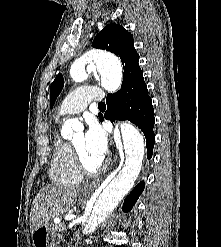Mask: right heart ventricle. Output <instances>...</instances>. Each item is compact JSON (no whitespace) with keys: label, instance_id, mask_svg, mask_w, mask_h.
<instances>
[{"label":"right heart ventricle","instance_id":"1","mask_svg":"<svg viewBox=\"0 0 221 247\" xmlns=\"http://www.w3.org/2000/svg\"><path fill=\"white\" fill-rule=\"evenodd\" d=\"M50 180L59 186H75L82 180L70 145L58 133L54 136V149L48 169Z\"/></svg>","mask_w":221,"mask_h":247}]
</instances>
